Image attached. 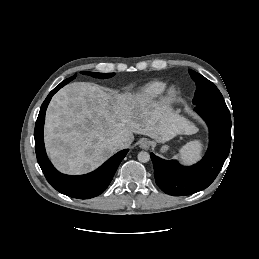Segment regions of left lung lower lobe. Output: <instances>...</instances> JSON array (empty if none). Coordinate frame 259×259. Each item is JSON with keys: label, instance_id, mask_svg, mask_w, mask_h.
<instances>
[{"label": "left lung lower lobe", "instance_id": "left-lung-lower-lobe-1", "mask_svg": "<svg viewBox=\"0 0 259 259\" xmlns=\"http://www.w3.org/2000/svg\"><path fill=\"white\" fill-rule=\"evenodd\" d=\"M195 111L209 127V148L203 159L189 167L176 160H163L150 154L157 185L165 193L184 196L207 188L217 177L231 146V117L226 104H200Z\"/></svg>", "mask_w": 259, "mask_h": 259}]
</instances>
